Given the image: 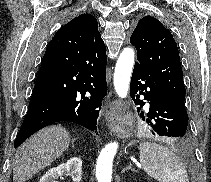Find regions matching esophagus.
I'll use <instances>...</instances> for the list:
<instances>
[{
	"label": "esophagus",
	"mask_w": 211,
	"mask_h": 182,
	"mask_svg": "<svg viewBox=\"0 0 211 182\" xmlns=\"http://www.w3.org/2000/svg\"><path fill=\"white\" fill-rule=\"evenodd\" d=\"M113 105H115V106H120L121 105V103L119 102V101H115L114 103H113Z\"/></svg>",
	"instance_id": "obj_1"
}]
</instances>
